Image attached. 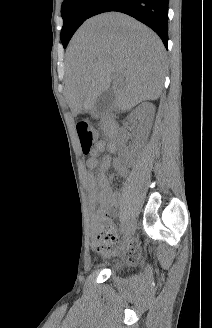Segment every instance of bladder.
<instances>
[{
    "mask_svg": "<svg viewBox=\"0 0 212 328\" xmlns=\"http://www.w3.org/2000/svg\"><path fill=\"white\" fill-rule=\"evenodd\" d=\"M122 267H123V263L122 262H117L113 265V270L114 271H119V270L122 269Z\"/></svg>",
    "mask_w": 212,
    "mask_h": 328,
    "instance_id": "obj_1",
    "label": "bladder"
}]
</instances>
